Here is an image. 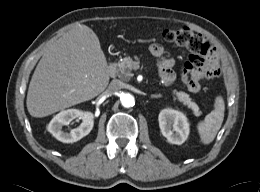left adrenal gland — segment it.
<instances>
[{"instance_id":"left-adrenal-gland-1","label":"left adrenal gland","mask_w":260,"mask_h":192,"mask_svg":"<svg viewBox=\"0 0 260 192\" xmlns=\"http://www.w3.org/2000/svg\"><path fill=\"white\" fill-rule=\"evenodd\" d=\"M162 97V95H155V94H153V95H151V99H154V98H161Z\"/></svg>"}]
</instances>
